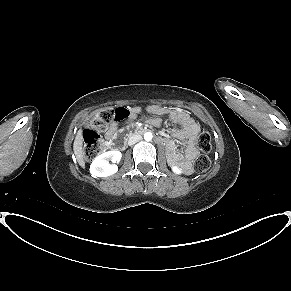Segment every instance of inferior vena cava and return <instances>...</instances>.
<instances>
[{"mask_svg": "<svg viewBox=\"0 0 291 291\" xmlns=\"http://www.w3.org/2000/svg\"><path fill=\"white\" fill-rule=\"evenodd\" d=\"M141 139H142L141 135L134 134V135L130 136L128 144L129 145H133V144H135L136 142H138Z\"/></svg>", "mask_w": 291, "mask_h": 291, "instance_id": "602c4592", "label": "inferior vena cava"}]
</instances>
